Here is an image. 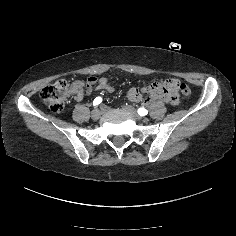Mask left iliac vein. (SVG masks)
Wrapping results in <instances>:
<instances>
[{"instance_id": "obj_1", "label": "left iliac vein", "mask_w": 236, "mask_h": 236, "mask_svg": "<svg viewBox=\"0 0 236 236\" xmlns=\"http://www.w3.org/2000/svg\"><path fill=\"white\" fill-rule=\"evenodd\" d=\"M123 109L129 113L135 120L140 121L142 120V118L138 115V113L136 112V110L130 106V105H124Z\"/></svg>"}]
</instances>
